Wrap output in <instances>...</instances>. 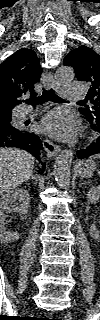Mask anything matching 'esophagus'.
Listing matches in <instances>:
<instances>
[{"label":"esophagus","mask_w":100,"mask_h":320,"mask_svg":"<svg viewBox=\"0 0 100 320\" xmlns=\"http://www.w3.org/2000/svg\"><path fill=\"white\" fill-rule=\"evenodd\" d=\"M43 82L46 86L51 87L55 91L60 90V85L56 82L51 72H47L43 75ZM42 142L44 149L50 158L55 157L61 150L60 146L52 143L47 138H43Z\"/></svg>","instance_id":"34e87169"}]
</instances>
